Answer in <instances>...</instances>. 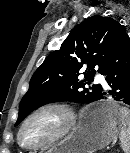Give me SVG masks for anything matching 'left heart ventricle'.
I'll return each instance as SVG.
<instances>
[{"instance_id":"obj_1","label":"left heart ventricle","mask_w":130,"mask_h":153,"mask_svg":"<svg viewBox=\"0 0 130 153\" xmlns=\"http://www.w3.org/2000/svg\"><path fill=\"white\" fill-rule=\"evenodd\" d=\"M63 122V116L57 111L42 112L26 125L22 141L28 145L45 142L60 131Z\"/></svg>"}]
</instances>
